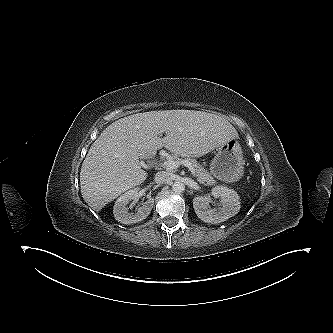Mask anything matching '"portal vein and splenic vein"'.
Instances as JSON below:
<instances>
[{
	"instance_id": "portal-vein-and-splenic-vein-1",
	"label": "portal vein and splenic vein",
	"mask_w": 333,
	"mask_h": 333,
	"mask_svg": "<svg viewBox=\"0 0 333 333\" xmlns=\"http://www.w3.org/2000/svg\"><path fill=\"white\" fill-rule=\"evenodd\" d=\"M180 165H184L185 167H187L191 171L192 175L194 177L196 176L193 166L190 163L186 162V161L169 160V161H165L164 163H162V166L166 169H169V170L176 169Z\"/></svg>"
}]
</instances>
